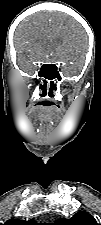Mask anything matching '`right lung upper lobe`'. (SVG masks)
Listing matches in <instances>:
<instances>
[{"label":"right lung upper lobe","mask_w":101,"mask_h":225,"mask_svg":"<svg viewBox=\"0 0 101 225\" xmlns=\"http://www.w3.org/2000/svg\"><path fill=\"white\" fill-rule=\"evenodd\" d=\"M4 225H39L36 224L35 220H19V219H9Z\"/></svg>","instance_id":"1"}]
</instances>
